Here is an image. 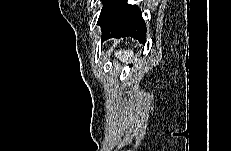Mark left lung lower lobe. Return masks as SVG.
<instances>
[{"label":"left lung lower lobe","instance_id":"1","mask_svg":"<svg viewBox=\"0 0 231 151\" xmlns=\"http://www.w3.org/2000/svg\"><path fill=\"white\" fill-rule=\"evenodd\" d=\"M98 25L102 28V41L131 36L145 44L146 24L141 11L127 0H110Z\"/></svg>","mask_w":231,"mask_h":151}]
</instances>
